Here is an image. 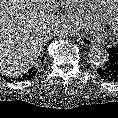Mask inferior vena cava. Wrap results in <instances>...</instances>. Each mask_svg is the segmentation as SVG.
I'll return each instance as SVG.
<instances>
[{"label": "inferior vena cava", "instance_id": "602c4592", "mask_svg": "<svg viewBox=\"0 0 118 118\" xmlns=\"http://www.w3.org/2000/svg\"><path fill=\"white\" fill-rule=\"evenodd\" d=\"M61 28H62L61 25H56V26L54 27V32H55V33L60 32Z\"/></svg>", "mask_w": 118, "mask_h": 118}]
</instances>
